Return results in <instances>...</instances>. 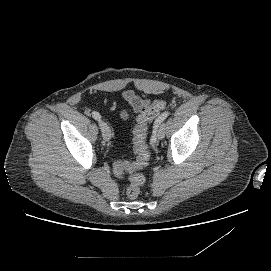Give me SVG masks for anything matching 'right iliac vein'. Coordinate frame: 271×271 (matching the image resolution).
Returning <instances> with one entry per match:
<instances>
[{
    "label": "right iliac vein",
    "mask_w": 271,
    "mask_h": 271,
    "mask_svg": "<svg viewBox=\"0 0 271 271\" xmlns=\"http://www.w3.org/2000/svg\"><path fill=\"white\" fill-rule=\"evenodd\" d=\"M99 126H100V130H101L103 139L105 141H109L110 138H111V130H110V128L103 121H99Z\"/></svg>",
    "instance_id": "1"
}]
</instances>
